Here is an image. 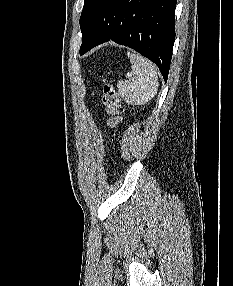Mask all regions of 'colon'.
Returning a JSON list of instances; mask_svg holds the SVG:
<instances>
[{"mask_svg": "<svg viewBox=\"0 0 233 286\" xmlns=\"http://www.w3.org/2000/svg\"><path fill=\"white\" fill-rule=\"evenodd\" d=\"M101 103L108 116V125L115 131L121 123L123 107L114 87L108 82H104Z\"/></svg>", "mask_w": 233, "mask_h": 286, "instance_id": "colon-1", "label": "colon"}]
</instances>
